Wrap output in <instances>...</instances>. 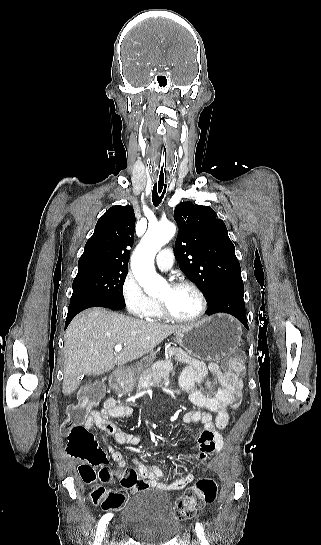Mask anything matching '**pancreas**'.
Instances as JSON below:
<instances>
[{
    "label": "pancreas",
    "mask_w": 321,
    "mask_h": 545,
    "mask_svg": "<svg viewBox=\"0 0 321 545\" xmlns=\"http://www.w3.org/2000/svg\"><path fill=\"white\" fill-rule=\"evenodd\" d=\"M135 367H137V365L130 367V369H125L123 375H129V377H135V375H137V391L149 389L150 383L158 385V383L166 381V379H169L170 373H172V377L175 375L173 363H171V361H157V363H152L150 367H140V369H135Z\"/></svg>",
    "instance_id": "pancreas-1"
}]
</instances>
